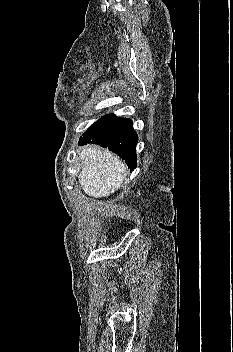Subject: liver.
Returning <instances> with one entry per match:
<instances>
[{
    "mask_svg": "<svg viewBox=\"0 0 233 352\" xmlns=\"http://www.w3.org/2000/svg\"><path fill=\"white\" fill-rule=\"evenodd\" d=\"M79 182L92 197H107L118 190L126 178V165L113 153L99 146L88 145L79 153Z\"/></svg>",
    "mask_w": 233,
    "mask_h": 352,
    "instance_id": "obj_1",
    "label": "liver"
}]
</instances>
